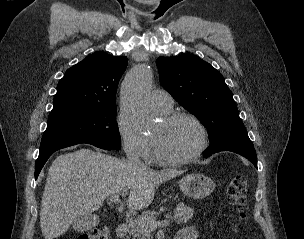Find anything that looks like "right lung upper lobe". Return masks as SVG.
Masks as SVG:
<instances>
[{
	"mask_svg": "<svg viewBox=\"0 0 304 239\" xmlns=\"http://www.w3.org/2000/svg\"><path fill=\"white\" fill-rule=\"evenodd\" d=\"M126 66V56L104 52L89 55L69 68L59 81L52 112L115 105L117 85Z\"/></svg>",
	"mask_w": 304,
	"mask_h": 239,
	"instance_id": "cb5924a9",
	"label": "right lung upper lobe"
}]
</instances>
